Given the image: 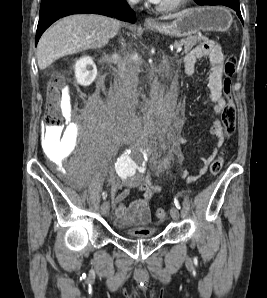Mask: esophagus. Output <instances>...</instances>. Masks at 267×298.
<instances>
[{"label":"esophagus","instance_id":"esophagus-1","mask_svg":"<svg viewBox=\"0 0 267 298\" xmlns=\"http://www.w3.org/2000/svg\"><path fill=\"white\" fill-rule=\"evenodd\" d=\"M145 25L146 26H155V25H157V22L153 18L148 17L145 19Z\"/></svg>","mask_w":267,"mask_h":298}]
</instances>
